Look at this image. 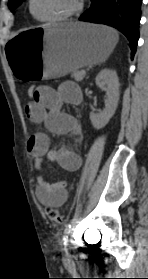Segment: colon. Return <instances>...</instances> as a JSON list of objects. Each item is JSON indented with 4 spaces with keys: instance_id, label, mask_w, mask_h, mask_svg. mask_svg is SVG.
Masks as SVG:
<instances>
[{
    "instance_id": "1",
    "label": "colon",
    "mask_w": 148,
    "mask_h": 279,
    "mask_svg": "<svg viewBox=\"0 0 148 279\" xmlns=\"http://www.w3.org/2000/svg\"><path fill=\"white\" fill-rule=\"evenodd\" d=\"M38 93H39L38 87L35 85H32L27 89V96L29 98H32V99L36 98L38 96ZM46 214L50 220L55 221V222H60L63 219L59 210L54 207L47 208Z\"/></svg>"
}]
</instances>
